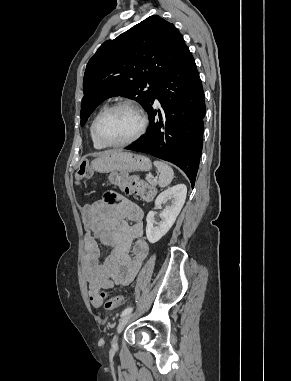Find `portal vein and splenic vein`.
<instances>
[{
	"label": "portal vein and splenic vein",
	"instance_id": "18ae733b",
	"mask_svg": "<svg viewBox=\"0 0 291 381\" xmlns=\"http://www.w3.org/2000/svg\"><path fill=\"white\" fill-rule=\"evenodd\" d=\"M147 177L152 178L153 176H152V175H148ZM155 180H156V179H155Z\"/></svg>",
	"mask_w": 291,
	"mask_h": 381
}]
</instances>
